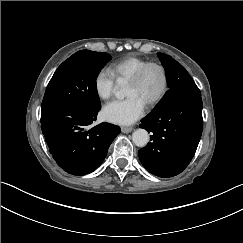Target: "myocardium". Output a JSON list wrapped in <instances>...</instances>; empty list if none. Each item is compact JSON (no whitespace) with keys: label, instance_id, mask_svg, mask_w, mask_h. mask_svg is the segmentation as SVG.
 <instances>
[{"label":"myocardium","instance_id":"obj_1","mask_svg":"<svg viewBox=\"0 0 243 243\" xmlns=\"http://www.w3.org/2000/svg\"><path fill=\"white\" fill-rule=\"evenodd\" d=\"M152 66H156L162 71L163 77H164V86H163V89H162V92L160 93V95L156 99H154L153 101H151L150 103L147 104L149 107H155L158 104H160L166 98V96L169 92L170 75H169V72H168V69L166 68V66L159 61H147L127 81V83L139 82L141 80L142 76L144 75V73L146 72V70Z\"/></svg>","mask_w":243,"mask_h":243}]
</instances>
